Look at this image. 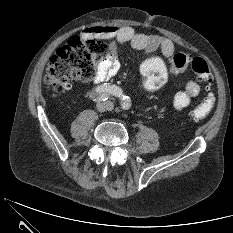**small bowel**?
<instances>
[{"label":"small bowel","mask_w":233,"mask_h":233,"mask_svg":"<svg viewBox=\"0 0 233 233\" xmlns=\"http://www.w3.org/2000/svg\"><path fill=\"white\" fill-rule=\"evenodd\" d=\"M82 35L86 37L99 36L114 39V43L111 45L106 57L97 66L94 84L98 87L106 84L119 70L120 64L116 51L117 43H129L133 49L139 50L145 55L160 50L165 59L171 58L175 51L173 42L168 38L159 35L138 33L130 26H95L83 30ZM199 93V83L193 80L188 81L182 90L172 95L171 103L176 110H183Z\"/></svg>","instance_id":"1"}]
</instances>
